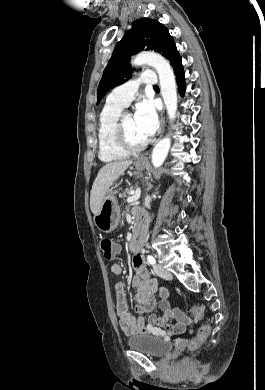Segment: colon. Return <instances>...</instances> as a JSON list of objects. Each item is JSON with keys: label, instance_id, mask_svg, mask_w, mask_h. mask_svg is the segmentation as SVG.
Returning a JSON list of instances; mask_svg holds the SVG:
<instances>
[{"label": "colon", "instance_id": "colon-1", "mask_svg": "<svg viewBox=\"0 0 265 390\" xmlns=\"http://www.w3.org/2000/svg\"><path fill=\"white\" fill-rule=\"evenodd\" d=\"M100 248L103 254V257L106 261H111L115 258L116 252H115V244L113 241L109 238H103L100 241ZM191 313L196 319H202L204 316V310L199 307V306H193L191 308ZM210 333V326L208 324L202 325L195 338L192 340V346L197 347L199 346L202 342L206 340Z\"/></svg>", "mask_w": 265, "mask_h": 390}]
</instances>
